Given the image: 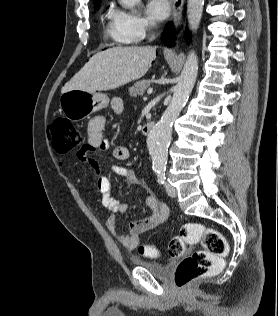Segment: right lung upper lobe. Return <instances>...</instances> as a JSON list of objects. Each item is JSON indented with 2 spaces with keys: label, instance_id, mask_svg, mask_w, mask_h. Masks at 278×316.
I'll return each mask as SVG.
<instances>
[{
  "label": "right lung upper lobe",
  "instance_id": "obj_1",
  "mask_svg": "<svg viewBox=\"0 0 278 316\" xmlns=\"http://www.w3.org/2000/svg\"><path fill=\"white\" fill-rule=\"evenodd\" d=\"M99 1H101V0H94V4L97 3V2H99Z\"/></svg>",
  "mask_w": 278,
  "mask_h": 316
}]
</instances>
